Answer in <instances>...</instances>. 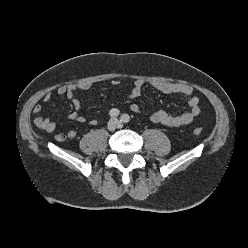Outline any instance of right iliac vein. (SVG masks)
<instances>
[{
	"label": "right iliac vein",
	"mask_w": 248,
	"mask_h": 248,
	"mask_svg": "<svg viewBox=\"0 0 248 248\" xmlns=\"http://www.w3.org/2000/svg\"><path fill=\"white\" fill-rule=\"evenodd\" d=\"M115 127H116V121H113V120L109 121V123H108V129L109 130H114Z\"/></svg>",
	"instance_id": "1"
}]
</instances>
